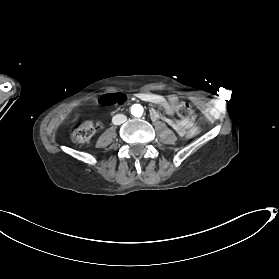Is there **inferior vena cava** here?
Here are the masks:
<instances>
[{
    "mask_svg": "<svg viewBox=\"0 0 279 279\" xmlns=\"http://www.w3.org/2000/svg\"><path fill=\"white\" fill-rule=\"evenodd\" d=\"M127 120V117L121 114H118L116 116L113 117L112 121L115 125H120L122 123H124L123 121Z\"/></svg>",
    "mask_w": 279,
    "mask_h": 279,
    "instance_id": "inferior-vena-cava-1",
    "label": "inferior vena cava"
}]
</instances>
